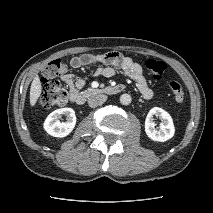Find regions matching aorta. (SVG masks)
I'll return each mask as SVG.
<instances>
[{
	"instance_id": "762f6f07",
	"label": "aorta",
	"mask_w": 213,
	"mask_h": 213,
	"mask_svg": "<svg viewBox=\"0 0 213 213\" xmlns=\"http://www.w3.org/2000/svg\"><path fill=\"white\" fill-rule=\"evenodd\" d=\"M131 96L129 94H122L120 96V103L123 105H129L131 103Z\"/></svg>"
}]
</instances>
